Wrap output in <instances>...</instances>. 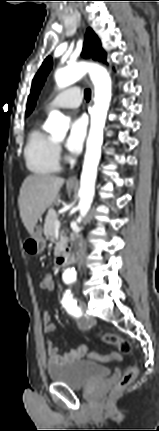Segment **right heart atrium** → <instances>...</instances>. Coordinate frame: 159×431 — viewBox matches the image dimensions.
<instances>
[{"instance_id":"1","label":"right heart atrium","mask_w":159,"mask_h":431,"mask_svg":"<svg viewBox=\"0 0 159 431\" xmlns=\"http://www.w3.org/2000/svg\"><path fill=\"white\" fill-rule=\"evenodd\" d=\"M56 152L59 159L61 157V148L59 146H56Z\"/></svg>"}]
</instances>
